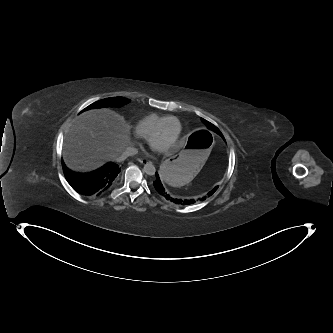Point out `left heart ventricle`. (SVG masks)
Masks as SVG:
<instances>
[{
    "label": "left heart ventricle",
    "instance_id": "left-heart-ventricle-1",
    "mask_svg": "<svg viewBox=\"0 0 333 333\" xmlns=\"http://www.w3.org/2000/svg\"><path fill=\"white\" fill-rule=\"evenodd\" d=\"M178 125L174 119L168 120L162 131L155 138L153 144L161 149L167 147L170 143L173 142L177 135Z\"/></svg>",
    "mask_w": 333,
    "mask_h": 333
}]
</instances>
